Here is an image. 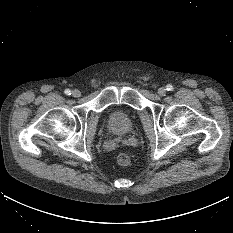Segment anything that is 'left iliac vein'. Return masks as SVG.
Listing matches in <instances>:
<instances>
[{
	"label": "left iliac vein",
	"mask_w": 233,
	"mask_h": 233,
	"mask_svg": "<svg viewBox=\"0 0 233 233\" xmlns=\"http://www.w3.org/2000/svg\"><path fill=\"white\" fill-rule=\"evenodd\" d=\"M158 94H159L160 96L165 95V94H166V89H165L164 87H160V88L158 89Z\"/></svg>",
	"instance_id": "obj_1"
}]
</instances>
